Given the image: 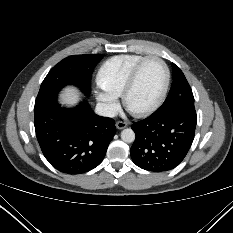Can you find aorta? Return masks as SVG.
<instances>
[{
    "mask_svg": "<svg viewBox=\"0 0 233 233\" xmlns=\"http://www.w3.org/2000/svg\"><path fill=\"white\" fill-rule=\"evenodd\" d=\"M121 139L126 143H132L135 140V133L132 129L126 128L121 132Z\"/></svg>",
    "mask_w": 233,
    "mask_h": 233,
    "instance_id": "1",
    "label": "aorta"
}]
</instances>
